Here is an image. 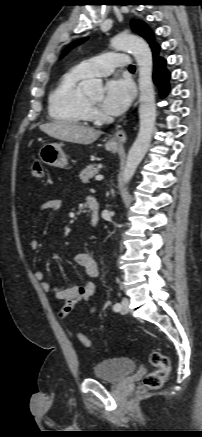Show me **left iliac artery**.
<instances>
[{
	"mask_svg": "<svg viewBox=\"0 0 202 437\" xmlns=\"http://www.w3.org/2000/svg\"><path fill=\"white\" fill-rule=\"evenodd\" d=\"M113 309H114L115 311H120V309H121V304H120V303H116V304H114Z\"/></svg>",
	"mask_w": 202,
	"mask_h": 437,
	"instance_id": "1",
	"label": "left iliac artery"
}]
</instances>
